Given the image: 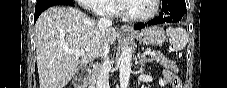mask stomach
<instances>
[{"label":"stomach","instance_id":"0dacf381","mask_svg":"<svg viewBox=\"0 0 227 88\" xmlns=\"http://www.w3.org/2000/svg\"><path fill=\"white\" fill-rule=\"evenodd\" d=\"M139 42L152 46H162L166 40L164 30L159 26H151L141 31L132 33Z\"/></svg>","mask_w":227,"mask_h":88}]
</instances>
